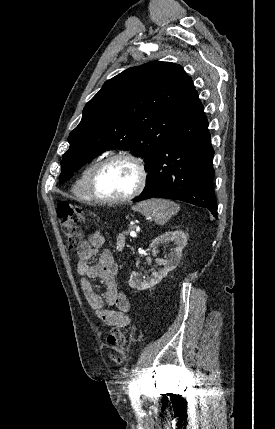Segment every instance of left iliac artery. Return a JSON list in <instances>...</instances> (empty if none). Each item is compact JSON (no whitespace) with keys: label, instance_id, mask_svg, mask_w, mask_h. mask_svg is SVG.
I'll use <instances>...</instances> for the list:
<instances>
[{"label":"left iliac artery","instance_id":"1","mask_svg":"<svg viewBox=\"0 0 275 429\" xmlns=\"http://www.w3.org/2000/svg\"><path fill=\"white\" fill-rule=\"evenodd\" d=\"M129 394H130V399H131L132 405L138 406L139 405V395H138V392L136 390L134 381L130 385V393Z\"/></svg>","mask_w":275,"mask_h":429}]
</instances>
